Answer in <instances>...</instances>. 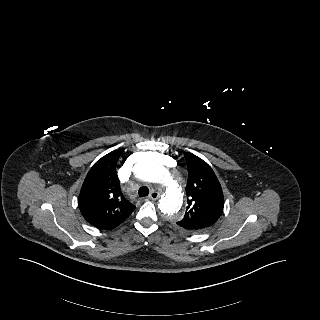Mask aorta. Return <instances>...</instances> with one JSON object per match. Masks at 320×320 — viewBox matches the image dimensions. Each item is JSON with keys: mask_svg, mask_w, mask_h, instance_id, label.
<instances>
[{"mask_svg": "<svg viewBox=\"0 0 320 320\" xmlns=\"http://www.w3.org/2000/svg\"><path fill=\"white\" fill-rule=\"evenodd\" d=\"M159 157L160 154L156 152H146L143 159L134 166L133 173L143 181L165 184L167 189L160 200L159 209L171 220L180 219L183 202L181 189L166 167L158 162Z\"/></svg>", "mask_w": 320, "mask_h": 320, "instance_id": "aorta-1", "label": "aorta"}]
</instances>
